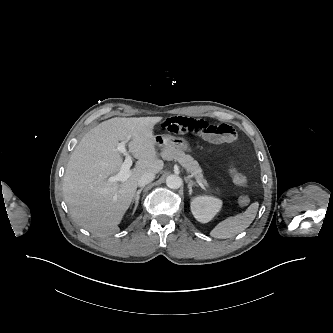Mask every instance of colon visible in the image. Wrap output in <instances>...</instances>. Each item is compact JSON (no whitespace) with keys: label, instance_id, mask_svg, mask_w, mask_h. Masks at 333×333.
Listing matches in <instances>:
<instances>
[{"label":"colon","instance_id":"colon-1","mask_svg":"<svg viewBox=\"0 0 333 333\" xmlns=\"http://www.w3.org/2000/svg\"><path fill=\"white\" fill-rule=\"evenodd\" d=\"M230 175L233 182L238 186H247L249 184V180L246 175L238 171L236 168H230ZM250 202V199L246 195H242L239 198L240 206H247Z\"/></svg>","mask_w":333,"mask_h":333}]
</instances>
